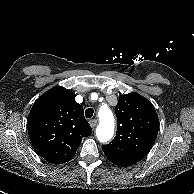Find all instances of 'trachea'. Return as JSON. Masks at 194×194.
<instances>
[{
    "label": "trachea",
    "mask_w": 194,
    "mask_h": 194,
    "mask_svg": "<svg viewBox=\"0 0 194 194\" xmlns=\"http://www.w3.org/2000/svg\"><path fill=\"white\" fill-rule=\"evenodd\" d=\"M94 110L93 108H88L85 110V116L86 118H91L93 116Z\"/></svg>",
    "instance_id": "trachea-1"
}]
</instances>
